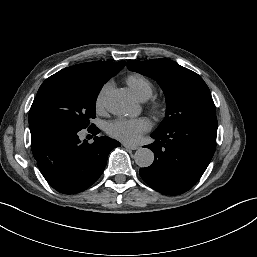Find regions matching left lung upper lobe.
Wrapping results in <instances>:
<instances>
[{
	"label": "left lung upper lobe",
	"mask_w": 257,
	"mask_h": 257,
	"mask_svg": "<svg viewBox=\"0 0 257 257\" xmlns=\"http://www.w3.org/2000/svg\"><path fill=\"white\" fill-rule=\"evenodd\" d=\"M130 71L157 81L166 96V116L156 132L191 120L216 116L210 90L195 72L176 62L161 58L127 62Z\"/></svg>",
	"instance_id": "5c2ea615"
}]
</instances>
